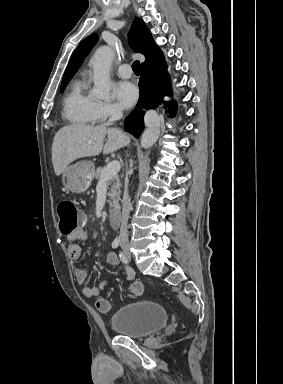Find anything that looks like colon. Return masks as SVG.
<instances>
[{
	"label": "colon",
	"mask_w": 283,
	"mask_h": 384,
	"mask_svg": "<svg viewBox=\"0 0 283 384\" xmlns=\"http://www.w3.org/2000/svg\"><path fill=\"white\" fill-rule=\"evenodd\" d=\"M57 212L60 219V230L63 234H71L78 228L82 227L85 221L84 214L78 209L76 204L70 199L60 201L57 206ZM142 293V288L138 284H132L129 288L130 297H138ZM97 309L102 313L110 311V303L104 298H100L96 302Z\"/></svg>",
	"instance_id": "5ec220e1"
}]
</instances>
